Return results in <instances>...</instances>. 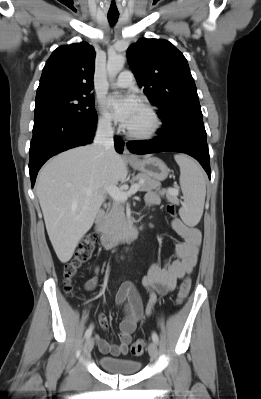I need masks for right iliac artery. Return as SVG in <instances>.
I'll return each instance as SVG.
<instances>
[{
    "mask_svg": "<svg viewBox=\"0 0 261 399\" xmlns=\"http://www.w3.org/2000/svg\"><path fill=\"white\" fill-rule=\"evenodd\" d=\"M92 330H93V326H90V327L86 330L85 335H84L85 339H88V338L91 336Z\"/></svg>",
    "mask_w": 261,
    "mask_h": 399,
    "instance_id": "1",
    "label": "right iliac artery"
}]
</instances>
